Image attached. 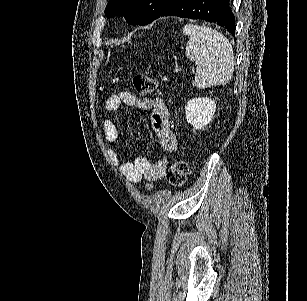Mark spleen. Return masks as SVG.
I'll list each match as a JSON object with an SVG mask.
<instances>
[{"mask_svg":"<svg viewBox=\"0 0 307 301\" xmlns=\"http://www.w3.org/2000/svg\"><path fill=\"white\" fill-rule=\"evenodd\" d=\"M183 34H188L185 54L195 60L196 72L193 80L197 88H208L226 84L234 72V50L228 38L210 26L185 24Z\"/></svg>","mask_w":307,"mask_h":301,"instance_id":"spleen-1","label":"spleen"}]
</instances>
